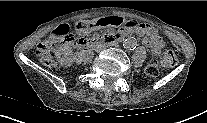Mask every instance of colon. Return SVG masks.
<instances>
[{"label":"colon","instance_id":"colon-1","mask_svg":"<svg viewBox=\"0 0 207 123\" xmlns=\"http://www.w3.org/2000/svg\"><path fill=\"white\" fill-rule=\"evenodd\" d=\"M62 41L66 43L75 42V38L71 34L70 26L68 24H61L57 26L50 39L40 43L36 50V55L39 60L46 66L54 68L56 62L52 57V51L54 43ZM84 39H79L77 43L84 44ZM178 62V53L173 49H169L165 52L164 56L159 61H152L145 67V74L148 77H155L161 70L168 69L174 66Z\"/></svg>","mask_w":207,"mask_h":123}]
</instances>
